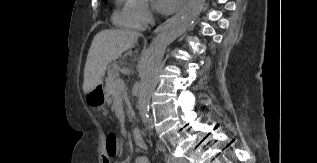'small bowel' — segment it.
<instances>
[{
    "label": "small bowel",
    "mask_w": 317,
    "mask_h": 163,
    "mask_svg": "<svg viewBox=\"0 0 317 163\" xmlns=\"http://www.w3.org/2000/svg\"><path fill=\"white\" fill-rule=\"evenodd\" d=\"M101 162L110 163V160L107 157V155H102ZM134 163H151V161L149 160L147 156L141 155L135 158Z\"/></svg>",
    "instance_id": "1"
}]
</instances>
